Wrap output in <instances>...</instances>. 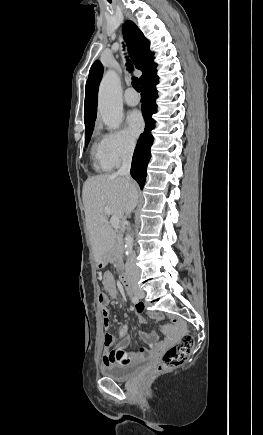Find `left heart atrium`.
Listing matches in <instances>:
<instances>
[{"label": "left heart atrium", "instance_id": "left-heart-atrium-1", "mask_svg": "<svg viewBox=\"0 0 263 435\" xmlns=\"http://www.w3.org/2000/svg\"><path fill=\"white\" fill-rule=\"evenodd\" d=\"M126 123L129 134L136 138L144 129V120L138 110H132L127 114Z\"/></svg>", "mask_w": 263, "mask_h": 435}]
</instances>
